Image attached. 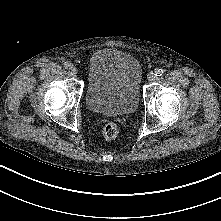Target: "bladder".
I'll use <instances>...</instances> for the list:
<instances>
[{"label":"bladder","instance_id":"obj_1","mask_svg":"<svg viewBox=\"0 0 221 221\" xmlns=\"http://www.w3.org/2000/svg\"><path fill=\"white\" fill-rule=\"evenodd\" d=\"M142 77L141 64L132 54L115 48L96 50L87 69L88 108L109 116L134 112L139 103Z\"/></svg>","mask_w":221,"mask_h":221}]
</instances>
